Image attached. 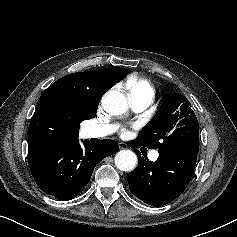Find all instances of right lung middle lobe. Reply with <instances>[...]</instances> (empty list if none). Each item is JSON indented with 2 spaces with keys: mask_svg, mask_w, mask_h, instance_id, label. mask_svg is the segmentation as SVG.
Segmentation results:
<instances>
[{
  "mask_svg": "<svg viewBox=\"0 0 237 237\" xmlns=\"http://www.w3.org/2000/svg\"><path fill=\"white\" fill-rule=\"evenodd\" d=\"M96 111H97V110H94V111L88 113V114L85 116L84 119H88V118H93V117H95V116H96Z\"/></svg>",
  "mask_w": 237,
  "mask_h": 237,
  "instance_id": "right-lung-middle-lobe-1",
  "label": "right lung middle lobe"
}]
</instances>
